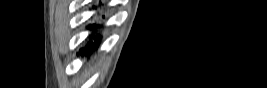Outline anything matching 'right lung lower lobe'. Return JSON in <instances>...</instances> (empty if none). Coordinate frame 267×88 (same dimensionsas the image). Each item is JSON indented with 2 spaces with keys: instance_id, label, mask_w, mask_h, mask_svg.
Segmentation results:
<instances>
[{
  "instance_id": "98d812e1",
  "label": "right lung lower lobe",
  "mask_w": 267,
  "mask_h": 88,
  "mask_svg": "<svg viewBox=\"0 0 267 88\" xmlns=\"http://www.w3.org/2000/svg\"><path fill=\"white\" fill-rule=\"evenodd\" d=\"M93 27H94V29L96 28V26H94V25H93ZM100 42H101V36L97 35L95 37V43L88 44L85 48L81 49L80 54L89 56L94 50L97 49V47L100 45Z\"/></svg>"
}]
</instances>
